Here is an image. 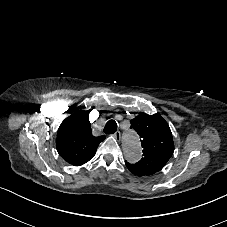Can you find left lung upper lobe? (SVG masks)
Instances as JSON below:
<instances>
[{"label":"left lung upper lobe","instance_id":"1","mask_svg":"<svg viewBox=\"0 0 227 227\" xmlns=\"http://www.w3.org/2000/svg\"><path fill=\"white\" fill-rule=\"evenodd\" d=\"M130 122L131 127L142 139L143 157L136 164L125 161L126 166L138 176L158 172L164 167L174 151L169 125L159 114H139Z\"/></svg>","mask_w":227,"mask_h":227}]
</instances>
